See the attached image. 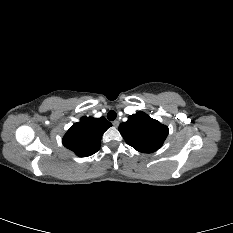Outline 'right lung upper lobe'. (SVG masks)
<instances>
[{
  "label": "right lung upper lobe",
  "mask_w": 233,
  "mask_h": 233,
  "mask_svg": "<svg viewBox=\"0 0 233 233\" xmlns=\"http://www.w3.org/2000/svg\"><path fill=\"white\" fill-rule=\"evenodd\" d=\"M111 125L104 117H82L69 128L63 137V145L79 157L90 156L99 150L102 134Z\"/></svg>",
  "instance_id": "cb5924a9"
}]
</instances>
